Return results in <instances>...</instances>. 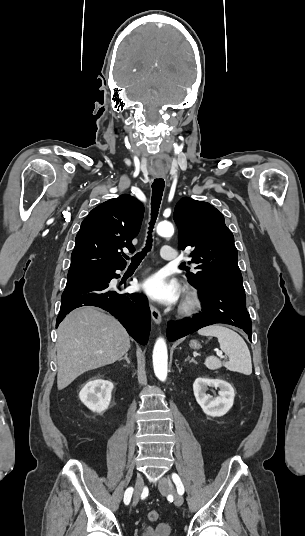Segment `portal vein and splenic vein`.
<instances>
[{
  "mask_svg": "<svg viewBox=\"0 0 305 536\" xmlns=\"http://www.w3.org/2000/svg\"><path fill=\"white\" fill-rule=\"evenodd\" d=\"M217 356H220V358H225V356H222V352H220V350H217Z\"/></svg>",
  "mask_w": 305,
  "mask_h": 536,
  "instance_id": "obj_1",
  "label": "portal vein and splenic vein"
}]
</instances>
